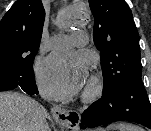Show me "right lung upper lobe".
<instances>
[{
	"label": "right lung upper lobe",
	"instance_id": "right-lung-upper-lobe-1",
	"mask_svg": "<svg viewBox=\"0 0 151 131\" xmlns=\"http://www.w3.org/2000/svg\"><path fill=\"white\" fill-rule=\"evenodd\" d=\"M44 17L41 0H17L0 22V52L21 48L36 54Z\"/></svg>",
	"mask_w": 151,
	"mask_h": 131
}]
</instances>
